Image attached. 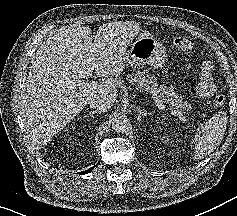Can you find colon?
<instances>
[{"instance_id":"1","label":"colon","mask_w":237,"mask_h":216,"mask_svg":"<svg viewBox=\"0 0 237 216\" xmlns=\"http://www.w3.org/2000/svg\"><path fill=\"white\" fill-rule=\"evenodd\" d=\"M173 44L178 51L188 53L194 47V41L192 38L186 35L178 36L174 39ZM226 98L223 94H217L214 97V104L217 107H221L225 104Z\"/></svg>"}]
</instances>
